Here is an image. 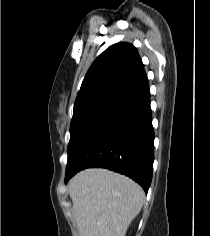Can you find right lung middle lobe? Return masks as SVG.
<instances>
[{
    "mask_svg": "<svg viewBox=\"0 0 210 236\" xmlns=\"http://www.w3.org/2000/svg\"><path fill=\"white\" fill-rule=\"evenodd\" d=\"M130 92L124 88L114 89L74 106L67 149L68 162L94 126Z\"/></svg>",
    "mask_w": 210,
    "mask_h": 236,
    "instance_id": "dd1d6c3e",
    "label": "right lung middle lobe"
}]
</instances>
